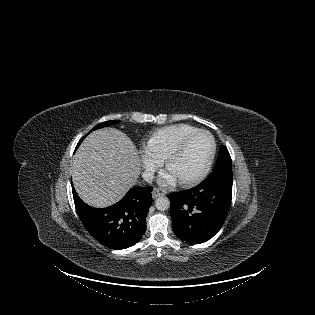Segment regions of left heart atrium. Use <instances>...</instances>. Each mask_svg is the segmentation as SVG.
Returning <instances> with one entry per match:
<instances>
[{
  "label": "left heart atrium",
  "mask_w": 315,
  "mask_h": 315,
  "mask_svg": "<svg viewBox=\"0 0 315 315\" xmlns=\"http://www.w3.org/2000/svg\"><path fill=\"white\" fill-rule=\"evenodd\" d=\"M175 180H176V177L171 172H168L163 175L160 181L164 185H169V184L174 183Z\"/></svg>",
  "instance_id": "1"
}]
</instances>
